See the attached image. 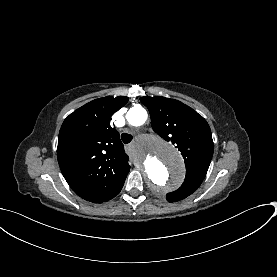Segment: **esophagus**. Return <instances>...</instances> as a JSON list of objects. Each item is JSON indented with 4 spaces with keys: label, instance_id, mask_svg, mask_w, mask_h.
<instances>
[{
    "label": "esophagus",
    "instance_id": "1",
    "mask_svg": "<svg viewBox=\"0 0 277 277\" xmlns=\"http://www.w3.org/2000/svg\"><path fill=\"white\" fill-rule=\"evenodd\" d=\"M137 165H138L140 168H142V165H141V164L138 163Z\"/></svg>",
    "mask_w": 277,
    "mask_h": 277
}]
</instances>
